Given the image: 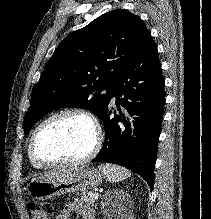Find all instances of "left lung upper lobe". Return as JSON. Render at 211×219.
<instances>
[{
	"label": "left lung upper lobe",
	"mask_w": 211,
	"mask_h": 219,
	"mask_svg": "<svg viewBox=\"0 0 211 219\" xmlns=\"http://www.w3.org/2000/svg\"><path fill=\"white\" fill-rule=\"evenodd\" d=\"M149 37L144 22L124 9L107 12L70 34L33 88L23 122L25 134L43 116L62 107L86 108L100 117L115 81Z\"/></svg>",
	"instance_id": "5c2ea615"
}]
</instances>
